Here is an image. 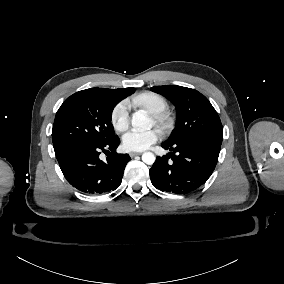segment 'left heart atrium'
Here are the masks:
<instances>
[{"mask_svg":"<svg viewBox=\"0 0 284 284\" xmlns=\"http://www.w3.org/2000/svg\"><path fill=\"white\" fill-rule=\"evenodd\" d=\"M160 138L156 130H141L131 128L122 136V146L126 150H144Z\"/></svg>","mask_w":284,"mask_h":284,"instance_id":"obj_1","label":"left heart atrium"}]
</instances>
